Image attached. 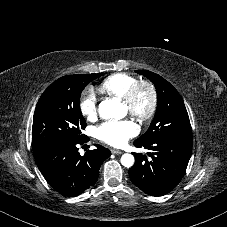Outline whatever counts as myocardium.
Masks as SVG:
<instances>
[{
	"mask_svg": "<svg viewBox=\"0 0 227 227\" xmlns=\"http://www.w3.org/2000/svg\"><path fill=\"white\" fill-rule=\"evenodd\" d=\"M142 90L149 94V105L142 111L138 107V98ZM122 104L127 108L128 113L138 122L145 123L153 117L158 104L157 91L154 85L146 80H139L134 83L122 98Z\"/></svg>",
	"mask_w": 227,
	"mask_h": 227,
	"instance_id": "f54148a6",
	"label": "myocardium"
}]
</instances>
